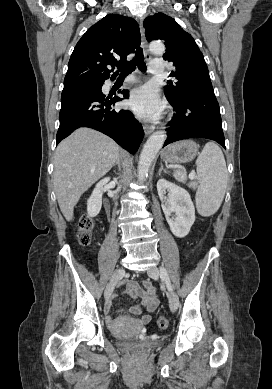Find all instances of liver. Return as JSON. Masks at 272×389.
I'll return each mask as SVG.
<instances>
[{
	"label": "liver",
	"mask_w": 272,
	"mask_h": 389,
	"mask_svg": "<svg viewBox=\"0 0 272 389\" xmlns=\"http://www.w3.org/2000/svg\"><path fill=\"white\" fill-rule=\"evenodd\" d=\"M119 156V146L108 136L80 128L64 139L54 157V190L67 221L82 194L106 175Z\"/></svg>",
	"instance_id": "obj_1"
}]
</instances>
